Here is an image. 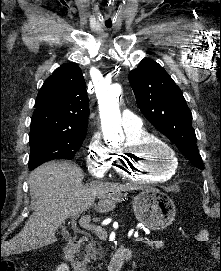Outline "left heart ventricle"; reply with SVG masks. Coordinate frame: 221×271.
Returning <instances> with one entry per match:
<instances>
[{
	"mask_svg": "<svg viewBox=\"0 0 221 271\" xmlns=\"http://www.w3.org/2000/svg\"><path fill=\"white\" fill-rule=\"evenodd\" d=\"M150 153H158V152H149ZM150 163H163V161L161 160V158H152V161H150Z\"/></svg>",
	"mask_w": 221,
	"mask_h": 271,
	"instance_id": "left-heart-ventricle-1",
	"label": "left heart ventricle"
}]
</instances>
